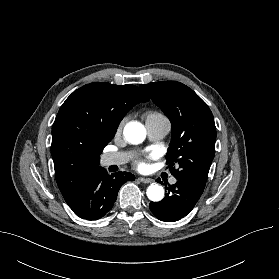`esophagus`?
<instances>
[{
	"instance_id": "obj_1",
	"label": "esophagus",
	"mask_w": 279,
	"mask_h": 279,
	"mask_svg": "<svg viewBox=\"0 0 279 279\" xmlns=\"http://www.w3.org/2000/svg\"><path fill=\"white\" fill-rule=\"evenodd\" d=\"M139 181H141L142 183H152L153 179L151 178H139Z\"/></svg>"
}]
</instances>
